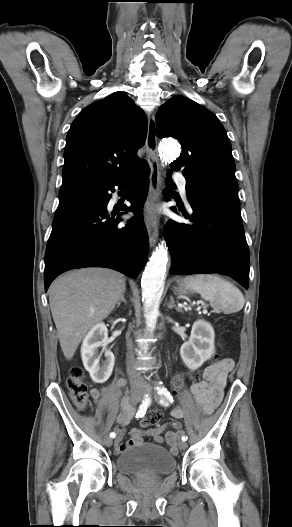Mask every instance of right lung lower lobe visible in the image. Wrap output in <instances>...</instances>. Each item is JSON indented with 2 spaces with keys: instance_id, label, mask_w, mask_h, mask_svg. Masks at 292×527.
Returning a JSON list of instances; mask_svg holds the SVG:
<instances>
[{
  "instance_id": "obj_1",
  "label": "right lung lower lobe",
  "mask_w": 292,
  "mask_h": 527,
  "mask_svg": "<svg viewBox=\"0 0 292 527\" xmlns=\"http://www.w3.org/2000/svg\"><path fill=\"white\" fill-rule=\"evenodd\" d=\"M149 175L145 164L107 184L62 183L45 253V291L57 276L75 268L107 267L132 278L138 276L149 250L142 218ZM132 183L131 207L125 205L122 211H135V216L122 225V219L114 217L123 213L107 210L108 191L114 192L116 185L124 190Z\"/></svg>"
}]
</instances>
